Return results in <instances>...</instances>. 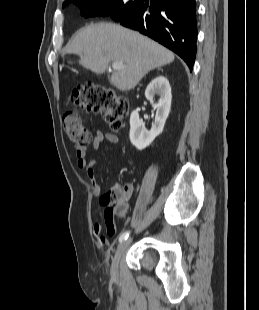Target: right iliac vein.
<instances>
[{"label":"right iliac vein","mask_w":259,"mask_h":310,"mask_svg":"<svg viewBox=\"0 0 259 310\" xmlns=\"http://www.w3.org/2000/svg\"><path fill=\"white\" fill-rule=\"evenodd\" d=\"M130 243H131V238L122 241L115 252L114 258L112 260V265H111V276L113 278L118 277V264H119L120 258L125 252V250L128 248V246L130 245Z\"/></svg>","instance_id":"right-iliac-vein-1"}]
</instances>
